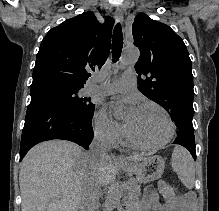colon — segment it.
Segmentation results:
<instances>
[{"label":"colon","mask_w":219,"mask_h":211,"mask_svg":"<svg viewBox=\"0 0 219 211\" xmlns=\"http://www.w3.org/2000/svg\"><path fill=\"white\" fill-rule=\"evenodd\" d=\"M160 190H161L163 197H164V200L167 204H173L176 201L174 188L170 183H168L166 181H161L160 182Z\"/></svg>","instance_id":"obj_1"}]
</instances>
